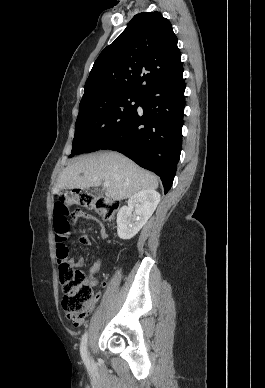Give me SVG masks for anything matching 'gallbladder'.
Returning a JSON list of instances; mask_svg holds the SVG:
<instances>
[{
	"label": "gallbladder",
	"mask_w": 265,
	"mask_h": 388,
	"mask_svg": "<svg viewBox=\"0 0 265 388\" xmlns=\"http://www.w3.org/2000/svg\"><path fill=\"white\" fill-rule=\"evenodd\" d=\"M86 190H87V188H86ZM96 190H97V192H101V190H98V188H96Z\"/></svg>",
	"instance_id": "obj_1"
}]
</instances>
